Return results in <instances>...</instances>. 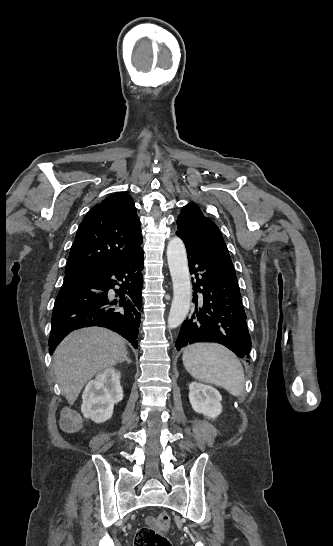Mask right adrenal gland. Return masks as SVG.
Returning a JSON list of instances; mask_svg holds the SVG:
<instances>
[{"label": "right adrenal gland", "instance_id": "1", "mask_svg": "<svg viewBox=\"0 0 333 546\" xmlns=\"http://www.w3.org/2000/svg\"><path fill=\"white\" fill-rule=\"evenodd\" d=\"M127 355H128V351L125 352L123 358L119 362L121 363L126 360L128 364H131V360L128 358Z\"/></svg>", "mask_w": 333, "mask_h": 546}]
</instances>
